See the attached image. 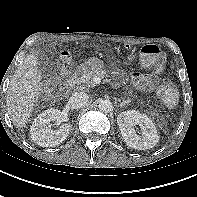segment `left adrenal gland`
<instances>
[{"instance_id":"1","label":"left adrenal gland","mask_w":197,"mask_h":197,"mask_svg":"<svg viewBox=\"0 0 197 197\" xmlns=\"http://www.w3.org/2000/svg\"><path fill=\"white\" fill-rule=\"evenodd\" d=\"M119 102H120L119 106L124 107L126 104H129L131 102V99L123 100L122 102L121 100H119Z\"/></svg>"}]
</instances>
